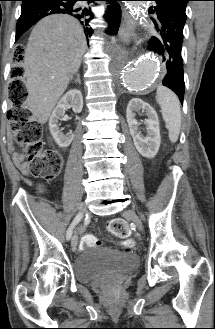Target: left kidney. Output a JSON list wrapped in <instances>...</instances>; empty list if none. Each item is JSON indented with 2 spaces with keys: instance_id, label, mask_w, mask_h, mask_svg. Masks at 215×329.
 <instances>
[{
  "instance_id": "5707ae66",
  "label": "left kidney",
  "mask_w": 215,
  "mask_h": 329,
  "mask_svg": "<svg viewBox=\"0 0 215 329\" xmlns=\"http://www.w3.org/2000/svg\"><path fill=\"white\" fill-rule=\"evenodd\" d=\"M141 109L148 117L144 121L147 126L146 136L139 131L140 123L135 119V112H138ZM126 119L137 151L144 157H155L161 142L159 121L156 111L143 100L133 98L128 103Z\"/></svg>"
}]
</instances>
